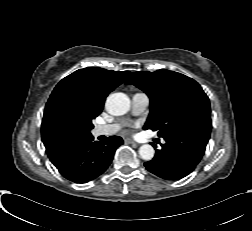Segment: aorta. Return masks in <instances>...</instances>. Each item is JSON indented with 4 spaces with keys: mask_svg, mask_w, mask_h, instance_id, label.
I'll use <instances>...</instances> for the list:
<instances>
[{
    "mask_svg": "<svg viewBox=\"0 0 252 231\" xmlns=\"http://www.w3.org/2000/svg\"><path fill=\"white\" fill-rule=\"evenodd\" d=\"M105 107L107 112L111 115H124L129 111L130 99L124 93H113L107 97ZM154 154L155 150L149 144H144L139 148V155L145 161L152 160Z\"/></svg>",
    "mask_w": 252,
    "mask_h": 231,
    "instance_id": "obj_1",
    "label": "aorta"
}]
</instances>
